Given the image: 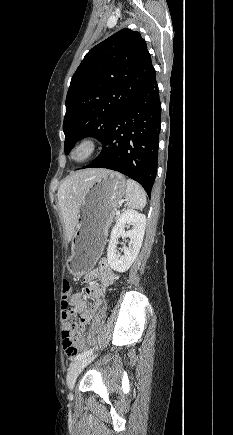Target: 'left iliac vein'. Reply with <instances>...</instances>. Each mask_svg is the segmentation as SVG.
Returning <instances> with one entry per match:
<instances>
[{"label":"left iliac vein","instance_id":"4c4485c4","mask_svg":"<svg viewBox=\"0 0 233 435\" xmlns=\"http://www.w3.org/2000/svg\"><path fill=\"white\" fill-rule=\"evenodd\" d=\"M93 359H94L93 356L88 355L86 357L76 360L72 364L66 377V381L69 389L72 390L74 388L78 375Z\"/></svg>","mask_w":233,"mask_h":435}]
</instances>
